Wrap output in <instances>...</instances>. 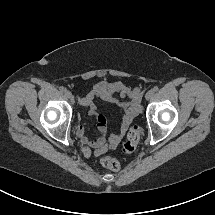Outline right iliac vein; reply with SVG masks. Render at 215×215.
I'll use <instances>...</instances> for the list:
<instances>
[{
    "instance_id": "obj_1",
    "label": "right iliac vein",
    "mask_w": 215,
    "mask_h": 215,
    "mask_svg": "<svg viewBox=\"0 0 215 215\" xmlns=\"http://www.w3.org/2000/svg\"><path fill=\"white\" fill-rule=\"evenodd\" d=\"M65 95H66L68 98H72V93H71L69 90H66V91H65Z\"/></svg>"
}]
</instances>
